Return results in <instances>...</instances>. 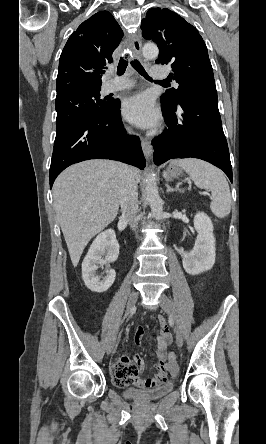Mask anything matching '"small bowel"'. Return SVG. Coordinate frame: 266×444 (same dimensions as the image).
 Listing matches in <instances>:
<instances>
[{
	"label": "small bowel",
	"mask_w": 266,
	"mask_h": 444,
	"mask_svg": "<svg viewBox=\"0 0 266 444\" xmlns=\"http://www.w3.org/2000/svg\"><path fill=\"white\" fill-rule=\"evenodd\" d=\"M159 323L161 333L157 337V362L154 365L156 370L155 376L152 378L141 377L146 367L144 360L140 356L135 355L132 360L128 356H122L111 365V374L115 385L122 388L132 384L143 388H154L167 383L166 372L174 373L166 363L167 348L172 341V335L163 316L159 317ZM142 336L143 330L141 328L137 329L134 336L136 346H140Z\"/></svg>",
	"instance_id": "small-bowel-1"
}]
</instances>
